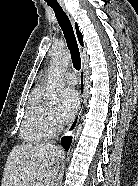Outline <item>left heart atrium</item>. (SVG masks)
<instances>
[{
	"instance_id": "obj_1",
	"label": "left heart atrium",
	"mask_w": 138,
	"mask_h": 186,
	"mask_svg": "<svg viewBox=\"0 0 138 186\" xmlns=\"http://www.w3.org/2000/svg\"><path fill=\"white\" fill-rule=\"evenodd\" d=\"M79 96L75 89L66 88L61 95L59 118L63 122L69 121L77 112L79 107Z\"/></svg>"
}]
</instances>
